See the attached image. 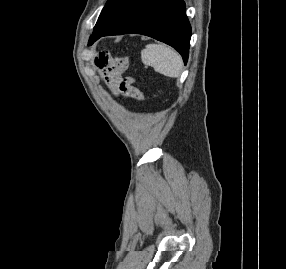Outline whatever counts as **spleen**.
I'll use <instances>...</instances> for the list:
<instances>
[{"label": "spleen", "mask_w": 286, "mask_h": 269, "mask_svg": "<svg viewBox=\"0 0 286 269\" xmlns=\"http://www.w3.org/2000/svg\"><path fill=\"white\" fill-rule=\"evenodd\" d=\"M145 65L152 66L156 72L168 77H179L182 69L181 56L170 47L158 44L146 45L141 52Z\"/></svg>", "instance_id": "3e777b00"}]
</instances>
